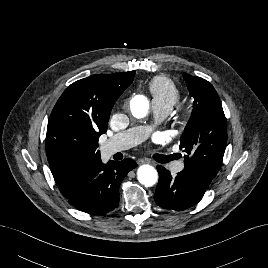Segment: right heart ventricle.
Masks as SVG:
<instances>
[{"label": "right heart ventricle", "mask_w": 268, "mask_h": 268, "mask_svg": "<svg viewBox=\"0 0 268 268\" xmlns=\"http://www.w3.org/2000/svg\"><path fill=\"white\" fill-rule=\"evenodd\" d=\"M149 91L152 95V103L168 108L170 111L181 98V90L170 79L158 76L149 83Z\"/></svg>", "instance_id": "right-heart-ventricle-1"}]
</instances>
